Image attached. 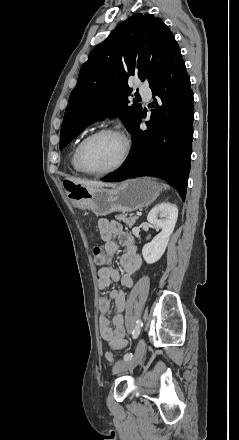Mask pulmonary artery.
<instances>
[{
    "label": "pulmonary artery",
    "instance_id": "e3ab8cb5",
    "mask_svg": "<svg viewBox=\"0 0 239 440\" xmlns=\"http://www.w3.org/2000/svg\"><path fill=\"white\" fill-rule=\"evenodd\" d=\"M150 94L148 93L146 96L148 97Z\"/></svg>",
    "mask_w": 239,
    "mask_h": 440
}]
</instances>
